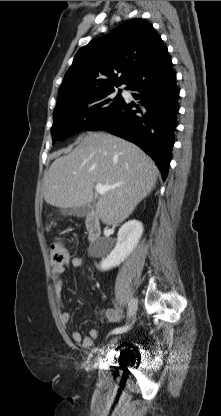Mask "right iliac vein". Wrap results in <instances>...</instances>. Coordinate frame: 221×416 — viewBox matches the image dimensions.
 <instances>
[{"instance_id":"right-iliac-vein-1","label":"right iliac vein","mask_w":221,"mask_h":416,"mask_svg":"<svg viewBox=\"0 0 221 416\" xmlns=\"http://www.w3.org/2000/svg\"><path fill=\"white\" fill-rule=\"evenodd\" d=\"M137 306H138L137 299L132 298L128 306V316L130 319H132L135 316L136 311H137ZM119 338L120 336L114 338L113 341H117Z\"/></svg>"}]
</instances>
